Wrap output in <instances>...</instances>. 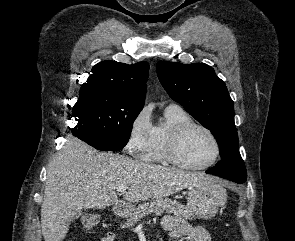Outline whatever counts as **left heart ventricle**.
<instances>
[{
  "label": "left heart ventricle",
  "instance_id": "obj_1",
  "mask_svg": "<svg viewBox=\"0 0 295 241\" xmlns=\"http://www.w3.org/2000/svg\"><path fill=\"white\" fill-rule=\"evenodd\" d=\"M215 153L212 139L203 130L193 128L181 139L178 155L190 165H203L209 162Z\"/></svg>",
  "mask_w": 295,
  "mask_h": 241
}]
</instances>
